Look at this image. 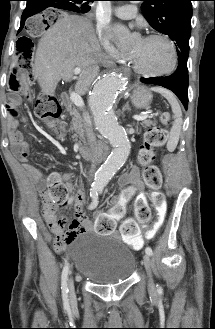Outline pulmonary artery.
I'll use <instances>...</instances> for the list:
<instances>
[{
  "instance_id": "1",
  "label": "pulmonary artery",
  "mask_w": 215,
  "mask_h": 329,
  "mask_svg": "<svg viewBox=\"0 0 215 329\" xmlns=\"http://www.w3.org/2000/svg\"><path fill=\"white\" fill-rule=\"evenodd\" d=\"M115 15L121 19H131L136 16L138 9L135 5L124 4L113 9Z\"/></svg>"
}]
</instances>
